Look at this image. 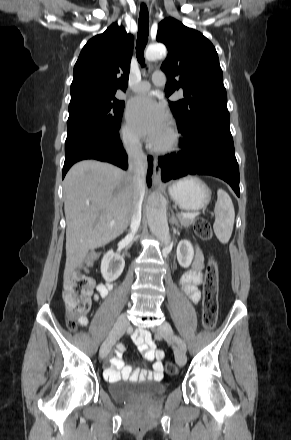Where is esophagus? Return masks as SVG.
Returning a JSON list of instances; mask_svg holds the SVG:
<instances>
[{
    "label": "esophagus",
    "instance_id": "esophagus-1",
    "mask_svg": "<svg viewBox=\"0 0 291 440\" xmlns=\"http://www.w3.org/2000/svg\"><path fill=\"white\" fill-rule=\"evenodd\" d=\"M144 2H145L146 5L148 4L147 0H144ZM152 180H153V183L155 185H160L161 184V170H160V168L158 166V163H157L156 159L154 160V163H153Z\"/></svg>",
    "mask_w": 291,
    "mask_h": 440
}]
</instances>
